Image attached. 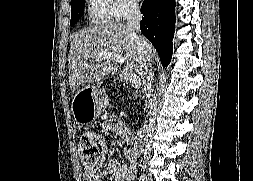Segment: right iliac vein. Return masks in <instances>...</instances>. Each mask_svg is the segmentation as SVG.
<instances>
[{"instance_id": "1", "label": "right iliac vein", "mask_w": 253, "mask_h": 181, "mask_svg": "<svg viewBox=\"0 0 253 181\" xmlns=\"http://www.w3.org/2000/svg\"><path fill=\"white\" fill-rule=\"evenodd\" d=\"M144 178H145V181H153L149 174L145 175Z\"/></svg>"}]
</instances>
